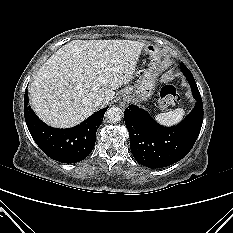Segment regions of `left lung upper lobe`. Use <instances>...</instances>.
Instances as JSON below:
<instances>
[{
  "label": "left lung upper lobe",
  "instance_id": "obj_1",
  "mask_svg": "<svg viewBox=\"0 0 233 233\" xmlns=\"http://www.w3.org/2000/svg\"><path fill=\"white\" fill-rule=\"evenodd\" d=\"M181 71L184 73V75L186 76L187 79L188 78L194 79L190 70L183 63H181Z\"/></svg>",
  "mask_w": 233,
  "mask_h": 233
}]
</instances>
